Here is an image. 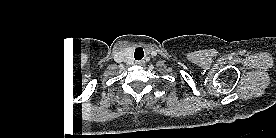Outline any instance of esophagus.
<instances>
[{
  "instance_id": "1",
  "label": "esophagus",
  "mask_w": 276,
  "mask_h": 138,
  "mask_svg": "<svg viewBox=\"0 0 276 138\" xmlns=\"http://www.w3.org/2000/svg\"><path fill=\"white\" fill-rule=\"evenodd\" d=\"M135 63H136L137 65H144V64H145V62L142 61V60L136 61Z\"/></svg>"
}]
</instances>
